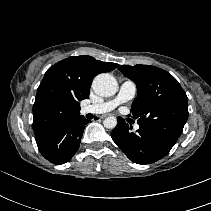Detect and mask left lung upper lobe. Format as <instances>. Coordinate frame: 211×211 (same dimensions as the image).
Listing matches in <instances>:
<instances>
[{"label":"left lung upper lobe","instance_id":"1","mask_svg":"<svg viewBox=\"0 0 211 211\" xmlns=\"http://www.w3.org/2000/svg\"><path fill=\"white\" fill-rule=\"evenodd\" d=\"M118 69L137 85L132 116L174 145L188 117V98L178 81L167 71L148 65H123Z\"/></svg>","mask_w":211,"mask_h":211}]
</instances>
